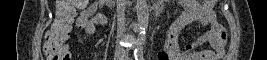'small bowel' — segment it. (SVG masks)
<instances>
[{
  "label": "small bowel",
  "instance_id": "small-bowel-1",
  "mask_svg": "<svg viewBox=\"0 0 267 60\" xmlns=\"http://www.w3.org/2000/svg\"><path fill=\"white\" fill-rule=\"evenodd\" d=\"M184 8V12L173 22L167 37L165 39L164 51L159 53L157 60H216L224 55V48L227 39V33L224 27L219 23L214 12L215 1L207 0L203 2L192 0L178 1ZM168 1L162 2L164 6ZM103 0L94 1L83 6L76 5L80 9L77 18V27L79 23L84 22L82 27L84 36L94 34L96 26L106 23V16L97 12L98 7H104ZM199 23L209 26V30L198 36L195 40L187 44L182 50L179 48L178 36L181 31L189 24ZM209 44L210 49L196 51V48L202 44Z\"/></svg>",
  "mask_w": 267,
  "mask_h": 60
}]
</instances>
